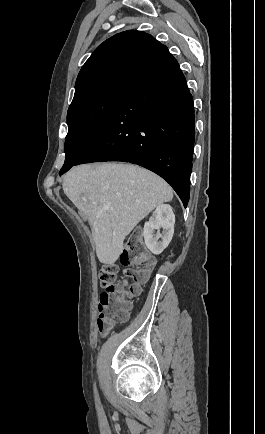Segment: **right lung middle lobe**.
<instances>
[{
	"label": "right lung middle lobe",
	"mask_w": 265,
	"mask_h": 434,
	"mask_svg": "<svg viewBox=\"0 0 265 434\" xmlns=\"http://www.w3.org/2000/svg\"><path fill=\"white\" fill-rule=\"evenodd\" d=\"M134 76L110 75L75 87L67 114L66 158L60 174L68 171L94 143Z\"/></svg>",
	"instance_id": "1"
}]
</instances>
